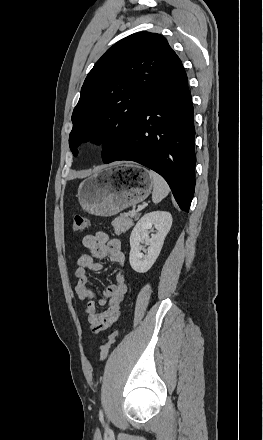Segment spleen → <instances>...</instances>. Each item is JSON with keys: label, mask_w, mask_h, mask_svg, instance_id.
Segmentation results:
<instances>
[{"label": "spleen", "mask_w": 263, "mask_h": 440, "mask_svg": "<svg viewBox=\"0 0 263 440\" xmlns=\"http://www.w3.org/2000/svg\"><path fill=\"white\" fill-rule=\"evenodd\" d=\"M149 175L153 182L152 200L154 203H159L169 194V186L165 179L154 171H149Z\"/></svg>", "instance_id": "spleen-1"}]
</instances>
